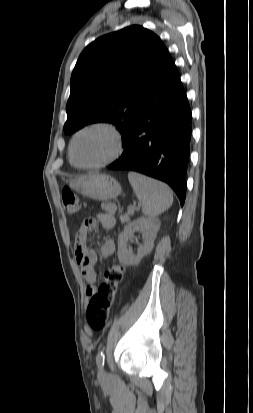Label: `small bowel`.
Returning a JSON list of instances; mask_svg holds the SVG:
<instances>
[{
    "instance_id": "1",
    "label": "small bowel",
    "mask_w": 253,
    "mask_h": 413,
    "mask_svg": "<svg viewBox=\"0 0 253 413\" xmlns=\"http://www.w3.org/2000/svg\"><path fill=\"white\" fill-rule=\"evenodd\" d=\"M103 212L97 214L95 217L85 219L80 224L79 230L75 237V257L80 266L81 273L87 282L86 295L91 297L95 292V284L98 277L94 271V266L97 261V253L89 245L87 235L96 224V221L105 229H112L115 226V214L117 211L116 204L106 202L102 205ZM115 251V243L112 239H106L100 246V255L103 258H109Z\"/></svg>"
}]
</instances>
